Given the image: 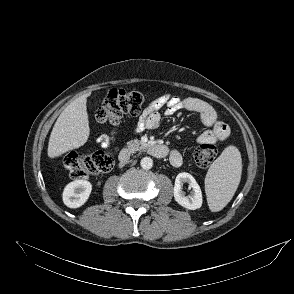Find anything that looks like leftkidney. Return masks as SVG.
I'll use <instances>...</instances> for the list:
<instances>
[{
	"instance_id": "5707ae66",
	"label": "left kidney",
	"mask_w": 294,
	"mask_h": 294,
	"mask_svg": "<svg viewBox=\"0 0 294 294\" xmlns=\"http://www.w3.org/2000/svg\"><path fill=\"white\" fill-rule=\"evenodd\" d=\"M183 183H188L189 187L192 188L191 195L185 196V193L182 191ZM173 193L175 201L186 209L196 210L202 206V192L200 186L189 173L182 172L177 175Z\"/></svg>"
}]
</instances>
